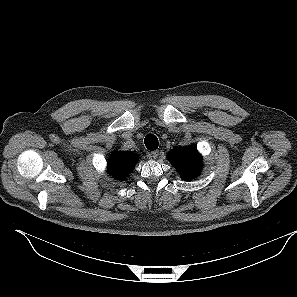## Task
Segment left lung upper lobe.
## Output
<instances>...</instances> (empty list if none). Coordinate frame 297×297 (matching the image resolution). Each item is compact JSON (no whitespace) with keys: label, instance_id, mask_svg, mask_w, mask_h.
<instances>
[{"label":"left lung upper lobe","instance_id":"obj_1","mask_svg":"<svg viewBox=\"0 0 297 297\" xmlns=\"http://www.w3.org/2000/svg\"><path fill=\"white\" fill-rule=\"evenodd\" d=\"M167 158L184 180L194 179L200 173L202 157L194 145L175 147Z\"/></svg>","mask_w":297,"mask_h":297}]
</instances>
